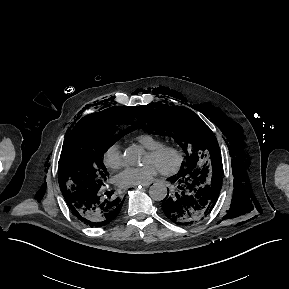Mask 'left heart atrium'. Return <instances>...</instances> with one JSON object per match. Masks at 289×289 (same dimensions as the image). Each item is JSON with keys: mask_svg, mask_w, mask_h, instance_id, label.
<instances>
[{"mask_svg": "<svg viewBox=\"0 0 289 289\" xmlns=\"http://www.w3.org/2000/svg\"><path fill=\"white\" fill-rule=\"evenodd\" d=\"M158 168L152 163L141 167H127L116 176V184L122 188L139 187L149 184Z\"/></svg>", "mask_w": 289, "mask_h": 289, "instance_id": "39dd6f15", "label": "left heart atrium"}]
</instances>
